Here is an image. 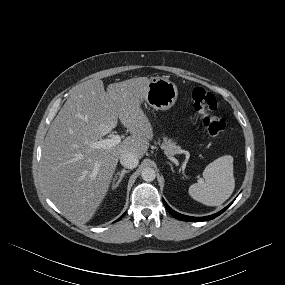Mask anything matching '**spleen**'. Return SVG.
Wrapping results in <instances>:
<instances>
[{
  "instance_id": "1",
  "label": "spleen",
  "mask_w": 285,
  "mask_h": 285,
  "mask_svg": "<svg viewBox=\"0 0 285 285\" xmlns=\"http://www.w3.org/2000/svg\"><path fill=\"white\" fill-rule=\"evenodd\" d=\"M204 180L189 187V195L207 206L223 204L233 193L235 179L233 176V157L225 155L206 166Z\"/></svg>"
}]
</instances>
